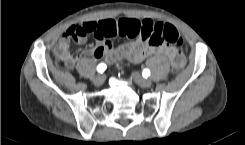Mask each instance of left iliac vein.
Returning a JSON list of instances; mask_svg holds the SVG:
<instances>
[{"mask_svg": "<svg viewBox=\"0 0 245 145\" xmlns=\"http://www.w3.org/2000/svg\"><path fill=\"white\" fill-rule=\"evenodd\" d=\"M132 77L134 81L142 88H148L152 84L151 80L143 78L138 72H134Z\"/></svg>", "mask_w": 245, "mask_h": 145, "instance_id": "obj_1", "label": "left iliac vein"}]
</instances>
